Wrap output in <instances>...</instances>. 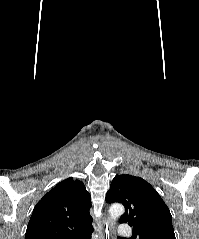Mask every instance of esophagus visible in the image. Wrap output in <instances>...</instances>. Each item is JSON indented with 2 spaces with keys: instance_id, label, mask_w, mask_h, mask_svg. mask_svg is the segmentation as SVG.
<instances>
[{
  "instance_id": "34e87169",
  "label": "esophagus",
  "mask_w": 199,
  "mask_h": 239,
  "mask_svg": "<svg viewBox=\"0 0 199 239\" xmlns=\"http://www.w3.org/2000/svg\"><path fill=\"white\" fill-rule=\"evenodd\" d=\"M103 230H104V236L106 237V239H109L110 237V226L108 221H106L103 225Z\"/></svg>"
}]
</instances>
